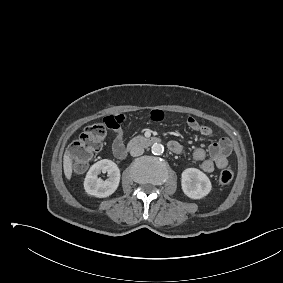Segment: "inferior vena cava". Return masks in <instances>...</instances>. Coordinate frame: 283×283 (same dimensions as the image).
I'll list each match as a JSON object with an SVG mask.
<instances>
[{"instance_id":"1","label":"inferior vena cava","mask_w":283,"mask_h":283,"mask_svg":"<svg viewBox=\"0 0 283 283\" xmlns=\"http://www.w3.org/2000/svg\"><path fill=\"white\" fill-rule=\"evenodd\" d=\"M144 153V148L141 147V146H134L131 148L130 150V154L131 156L133 157H137V156H140Z\"/></svg>"}]
</instances>
